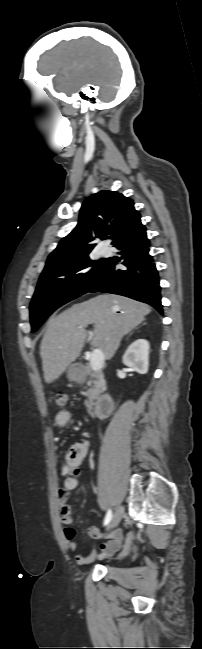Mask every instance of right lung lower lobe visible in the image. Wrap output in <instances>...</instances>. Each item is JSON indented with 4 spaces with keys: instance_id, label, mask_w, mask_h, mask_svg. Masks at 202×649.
I'll use <instances>...</instances> for the list:
<instances>
[{
    "instance_id": "1",
    "label": "right lung lower lobe",
    "mask_w": 202,
    "mask_h": 649,
    "mask_svg": "<svg viewBox=\"0 0 202 649\" xmlns=\"http://www.w3.org/2000/svg\"><path fill=\"white\" fill-rule=\"evenodd\" d=\"M146 231L132 234L114 245L119 250L122 264L127 269L116 268L117 262L106 260L87 292L119 294L147 303L163 314L159 274L149 254Z\"/></svg>"
}]
</instances>
